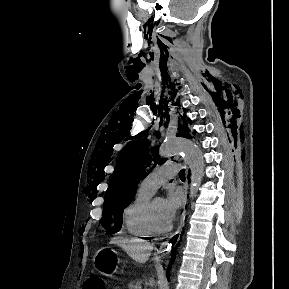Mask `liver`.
I'll return each instance as SVG.
<instances>
[{"label": "liver", "instance_id": "6515ba94", "mask_svg": "<svg viewBox=\"0 0 289 289\" xmlns=\"http://www.w3.org/2000/svg\"><path fill=\"white\" fill-rule=\"evenodd\" d=\"M112 244H117L136 262L145 263L148 261L153 247L139 239H123L120 237L113 238Z\"/></svg>", "mask_w": 289, "mask_h": 289}]
</instances>
